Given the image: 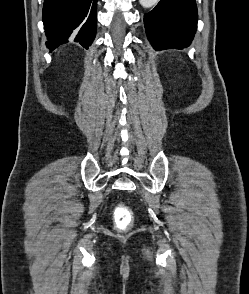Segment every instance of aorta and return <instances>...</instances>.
I'll list each match as a JSON object with an SVG mask.
<instances>
[{
    "instance_id": "obj_1",
    "label": "aorta",
    "mask_w": 249,
    "mask_h": 294,
    "mask_svg": "<svg viewBox=\"0 0 249 294\" xmlns=\"http://www.w3.org/2000/svg\"><path fill=\"white\" fill-rule=\"evenodd\" d=\"M158 2L159 0H139V3L145 8H150L156 5Z\"/></svg>"
}]
</instances>
